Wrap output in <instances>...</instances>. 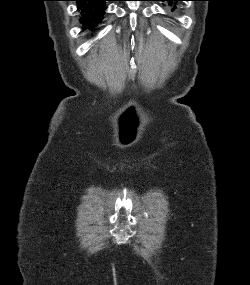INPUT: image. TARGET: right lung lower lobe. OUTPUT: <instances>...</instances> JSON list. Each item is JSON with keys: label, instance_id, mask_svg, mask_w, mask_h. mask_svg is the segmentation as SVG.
<instances>
[{"label": "right lung lower lobe", "instance_id": "98d812e1", "mask_svg": "<svg viewBox=\"0 0 250 285\" xmlns=\"http://www.w3.org/2000/svg\"><path fill=\"white\" fill-rule=\"evenodd\" d=\"M78 2L81 23L85 29H92L101 23L105 14V2L109 0H73Z\"/></svg>", "mask_w": 250, "mask_h": 285}]
</instances>
